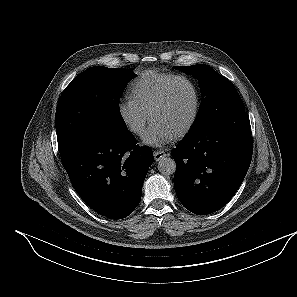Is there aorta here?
Returning a JSON list of instances; mask_svg holds the SVG:
<instances>
[{
  "mask_svg": "<svg viewBox=\"0 0 297 297\" xmlns=\"http://www.w3.org/2000/svg\"><path fill=\"white\" fill-rule=\"evenodd\" d=\"M158 170L163 175H172L176 170V163L170 157H162L158 162Z\"/></svg>",
  "mask_w": 297,
  "mask_h": 297,
  "instance_id": "obj_1",
  "label": "aorta"
}]
</instances>
